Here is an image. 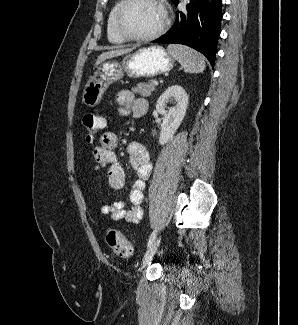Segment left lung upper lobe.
<instances>
[{
    "label": "left lung upper lobe",
    "instance_id": "5c2ea615",
    "mask_svg": "<svg viewBox=\"0 0 298 325\" xmlns=\"http://www.w3.org/2000/svg\"><path fill=\"white\" fill-rule=\"evenodd\" d=\"M173 3L176 2L177 0H171Z\"/></svg>",
    "mask_w": 298,
    "mask_h": 325
}]
</instances>
